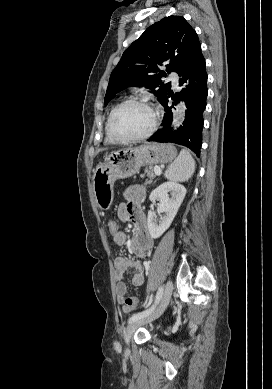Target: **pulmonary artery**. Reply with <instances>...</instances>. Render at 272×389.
<instances>
[{"label": "pulmonary artery", "mask_w": 272, "mask_h": 389, "mask_svg": "<svg viewBox=\"0 0 272 389\" xmlns=\"http://www.w3.org/2000/svg\"><path fill=\"white\" fill-rule=\"evenodd\" d=\"M169 79L172 81L173 85L176 86L179 79L178 74L176 72H171L169 74Z\"/></svg>", "instance_id": "obj_1"}]
</instances>
